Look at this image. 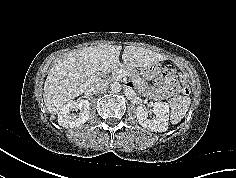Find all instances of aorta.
<instances>
[{
  "mask_svg": "<svg viewBox=\"0 0 236 178\" xmlns=\"http://www.w3.org/2000/svg\"><path fill=\"white\" fill-rule=\"evenodd\" d=\"M121 87L122 86L119 82H114V83L111 84L110 89L113 93H118V92H120Z\"/></svg>",
  "mask_w": 236,
  "mask_h": 178,
  "instance_id": "aorta-1",
  "label": "aorta"
}]
</instances>
